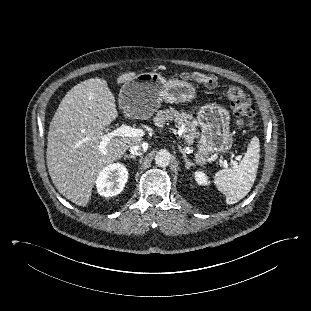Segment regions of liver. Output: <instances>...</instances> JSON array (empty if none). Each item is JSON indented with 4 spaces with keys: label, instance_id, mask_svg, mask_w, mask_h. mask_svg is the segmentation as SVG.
Listing matches in <instances>:
<instances>
[{
    "label": "liver",
    "instance_id": "obj_1",
    "mask_svg": "<svg viewBox=\"0 0 311 311\" xmlns=\"http://www.w3.org/2000/svg\"><path fill=\"white\" fill-rule=\"evenodd\" d=\"M136 76L134 72L125 73L117 78V83ZM117 117L115 96L107 81L91 78L67 92L52 118L46 152L49 175L56 189L79 206L89 203L100 171L143 140L114 137L102 151L101 132Z\"/></svg>",
    "mask_w": 311,
    "mask_h": 311
}]
</instances>
